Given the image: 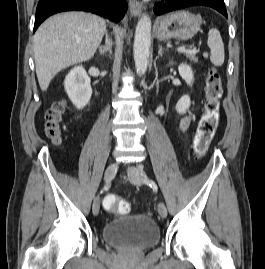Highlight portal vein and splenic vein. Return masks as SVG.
Returning a JSON list of instances; mask_svg holds the SVG:
<instances>
[{"label":"portal vein and splenic vein","mask_w":265,"mask_h":269,"mask_svg":"<svg viewBox=\"0 0 265 269\" xmlns=\"http://www.w3.org/2000/svg\"><path fill=\"white\" fill-rule=\"evenodd\" d=\"M178 52H185V53H196L197 50L194 48V49H186L185 46H181L177 49Z\"/></svg>","instance_id":"18ae733b"}]
</instances>
